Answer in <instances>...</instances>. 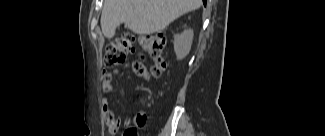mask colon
I'll list each match as a JSON object with an SVG mask.
<instances>
[{
    "label": "colon",
    "instance_id": "obj_1",
    "mask_svg": "<svg viewBox=\"0 0 325 136\" xmlns=\"http://www.w3.org/2000/svg\"><path fill=\"white\" fill-rule=\"evenodd\" d=\"M134 42L135 38L131 33H123L115 38L106 47L104 64L113 67L123 63L128 55L134 52ZM140 44L142 49L155 62V65L150 70L151 76H159L165 67L163 60V51L166 44L165 37L162 34L146 35L140 39ZM123 136H137V131L135 128H127Z\"/></svg>",
    "mask_w": 325,
    "mask_h": 136
}]
</instances>
